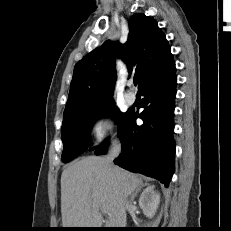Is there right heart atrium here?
<instances>
[{
	"instance_id": "1",
	"label": "right heart atrium",
	"mask_w": 231,
	"mask_h": 231,
	"mask_svg": "<svg viewBox=\"0 0 231 231\" xmlns=\"http://www.w3.org/2000/svg\"><path fill=\"white\" fill-rule=\"evenodd\" d=\"M89 135L97 143L102 142L108 136L115 137L117 135V127L112 115L102 113L95 117L90 124Z\"/></svg>"
}]
</instances>
